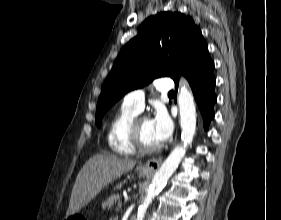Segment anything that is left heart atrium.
<instances>
[{"label": "left heart atrium", "mask_w": 281, "mask_h": 220, "mask_svg": "<svg viewBox=\"0 0 281 220\" xmlns=\"http://www.w3.org/2000/svg\"><path fill=\"white\" fill-rule=\"evenodd\" d=\"M155 138L159 143L165 142L172 134L173 124L168 114L159 109L151 120Z\"/></svg>", "instance_id": "1"}]
</instances>
